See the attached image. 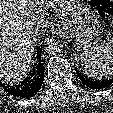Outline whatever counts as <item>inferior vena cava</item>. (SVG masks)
Segmentation results:
<instances>
[{
  "label": "inferior vena cava",
  "instance_id": "602c4592",
  "mask_svg": "<svg viewBox=\"0 0 113 113\" xmlns=\"http://www.w3.org/2000/svg\"><path fill=\"white\" fill-rule=\"evenodd\" d=\"M45 27V22H44V19L41 18L39 19L38 21H35L33 23V29H32V34L34 36H36V34L41 31L43 28Z\"/></svg>",
  "mask_w": 113,
  "mask_h": 113
}]
</instances>
